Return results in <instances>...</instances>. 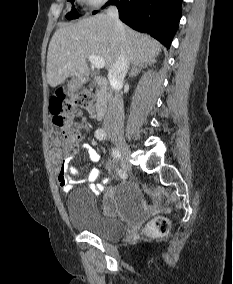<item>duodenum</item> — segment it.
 Here are the masks:
<instances>
[{"label": "duodenum", "mask_w": 233, "mask_h": 284, "mask_svg": "<svg viewBox=\"0 0 233 284\" xmlns=\"http://www.w3.org/2000/svg\"><path fill=\"white\" fill-rule=\"evenodd\" d=\"M96 84L98 86L97 91V106L94 112V117L98 120L102 119L109 105V89L107 85V81L104 77L98 76L95 78Z\"/></svg>", "instance_id": "duodenum-1"}]
</instances>
